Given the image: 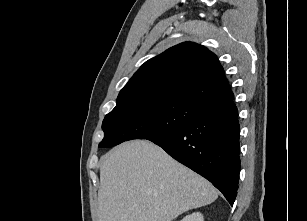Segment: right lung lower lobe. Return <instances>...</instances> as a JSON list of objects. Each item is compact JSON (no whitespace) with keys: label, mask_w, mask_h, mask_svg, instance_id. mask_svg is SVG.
<instances>
[{"label":"right lung lower lobe","mask_w":307,"mask_h":221,"mask_svg":"<svg viewBox=\"0 0 307 221\" xmlns=\"http://www.w3.org/2000/svg\"><path fill=\"white\" fill-rule=\"evenodd\" d=\"M233 99L207 107L180 129L148 139L209 180L231 205L240 171V126Z\"/></svg>","instance_id":"98d812e1"}]
</instances>
